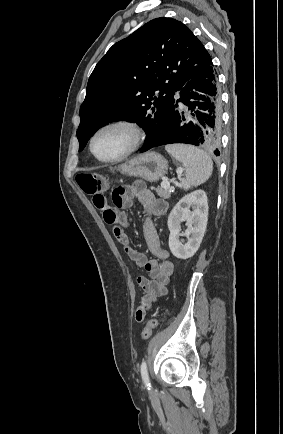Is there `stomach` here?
Here are the masks:
<instances>
[{"instance_id": "0dacf381", "label": "stomach", "mask_w": 283, "mask_h": 434, "mask_svg": "<svg viewBox=\"0 0 283 434\" xmlns=\"http://www.w3.org/2000/svg\"><path fill=\"white\" fill-rule=\"evenodd\" d=\"M118 170L124 175L157 182L167 173L168 163L159 153L148 152L123 163Z\"/></svg>"}]
</instances>
